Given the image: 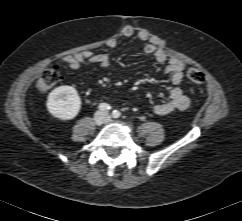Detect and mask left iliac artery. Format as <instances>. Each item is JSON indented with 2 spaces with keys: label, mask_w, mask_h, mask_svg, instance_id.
<instances>
[{
  "label": "left iliac artery",
  "mask_w": 242,
  "mask_h": 221,
  "mask_svg": "<svg viewBox=\"0 0 242 221\" xmlns=\"http://www.w3.org/2000/svg\"><path fill=\"white\" fill-rule=\"evenodd\" d=\"M120 115H121L120 112L117 111V110H114V111L112 112V116H113V118H119Z\"/></svg>",
  "instance_id": "44dca946"
}]
</instances>
